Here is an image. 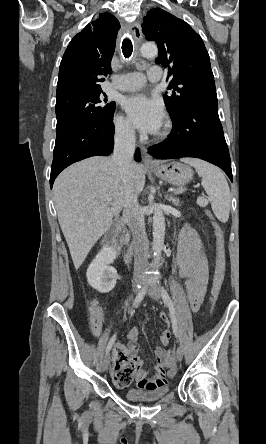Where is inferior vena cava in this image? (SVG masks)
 <instances>
[{
  "label": "inferior vena cava",
  "instance_id": "inferior-vena-cava-1",
  "mask_svg": "<svg viewBox=\"0 0 266 444\" xmlns=\"http://www.w3.org/2000/svg\"><path fill=\"white\" fill-rule=\"evenodd\" d=\"M135 141V131L132 126H124L115 135L112 159L118 164L121 173L127 174L131 169ZM123 217L133 235L134 268L139 271L146 270L148 261L143 257V251L147 249L148 240L145 232L144 216L140 211L136 195L128 193Z\"/></svg>",
  "mask_w": 266,
  "mask_h": 444
}]
</instances>
